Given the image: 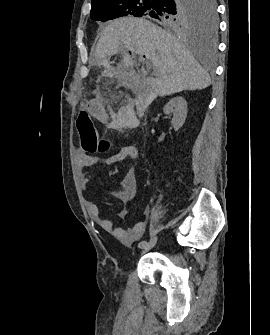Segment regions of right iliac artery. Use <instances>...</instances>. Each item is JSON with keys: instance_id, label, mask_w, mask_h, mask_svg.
Instances as JSON below:
<instances>
[{"instance_id": "obj_1", "label": "right iliac artery", "mask_w": 270, "mask_h": 335, "mask_svg": "<svg viewBox=\"0 0 270 335\" xmlns=\"http://www.w3.org/2000/svg\"><path fill=\"white\" fill-rule=\"evenodd\" d=\"M148 244V242L147 241H141L140 243H139V248H143V247H145L146 245Z\"/></svg>"}]
</instances>
